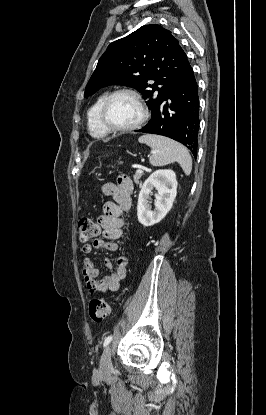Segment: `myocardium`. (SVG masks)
<instances>
[{"label": "myocardium", "instance_id": "f54148a6", "mask_svg": "<svg viewBox=\"0 0 266 415\" xmlns=\"http://www.w3.org/2000/svg\"><path fill=\"white\" fill-rule=\"evenodd\" d=\"M122 94H126V95H130L131 97H133L135 99V101L137 102L140 110H141V116L139 118V120L134 123L131 126L128 127H117L114 126L113 124H111V122L108 119V109L110 106V103L112 102V100L118 96V95H122ZM148 118V109L142 99V97L140 96V94L133 90V89H129V88H121V89H117L113 92H111L110 94H108V96L106 97V99L103 102V105L101 107V111H100V120L102 125L109 131V132H115V133H127V132H131L134 131L138 128H140L145 121Z\"/></svg>", "mask_w": 266, "mask_h": 415}]
</instances>
